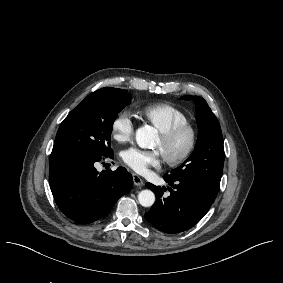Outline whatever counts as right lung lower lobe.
Listing matches in <instances>:
<instances>
[{"mask_svg": "<svg viewBox=\"0 0 283 283\" xmlns=\"http://www.w3.org/2000/svg\"><path fill=\"white\" fill-rule=\"evenodd\" d=\"M113 156L75 155L50 160V188L68 218L81 224L92 223L106 216L131 190L133 178L124 167L102 173L96 170V162Z\"/></svg>", "mask_w": 283, "mask_h": 283, "instance_id": "obj_1", "label": "right lung lower lobe"}]
</instances>
